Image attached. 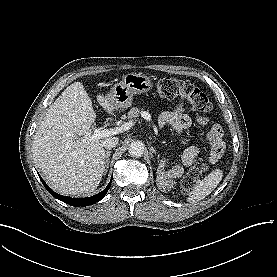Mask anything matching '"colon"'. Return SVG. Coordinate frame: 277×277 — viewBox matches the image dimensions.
Returning <instances> with one entry per match:
<instances>
[{
    "label": "colon",
    "instance_id": "5ec220e1",
    "mask_svg": "<svg viewBox=\"0 0 277 277\" xmlns=\"http://www.w3.org/2000/svg\"><path fill=\"white\" fill-rule=\"evenodd\" d=\"M157 92L160 97L165 99L182 97L191 104L195 111L202 114H209L212 110V104L208 97L188 80L174 77L163 78L157 83ZM213 161H215L214 157L209 162L198 160L189 169L181 182L183 193L187 194L193 189Z\"/></svg>",
    "mask_w": 277,
    "mask_h": 277
}]
</instances>
